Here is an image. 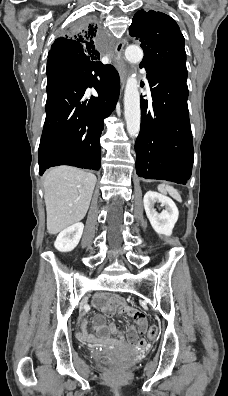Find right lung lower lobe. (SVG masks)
Returning <instances> with one entry per match:
<instances>
[{
    "mask_svg": "<svg viewBox=\"0 0 228 396\" xmlns=\"http://www.w3.org/2000/svg\"><path fill=\"white\" fill-rule=\"evenodd\" d=\"M89 87L97 91L98 97L86 98ZM119 92L118 72L101 62L74 65L47 90L46 119L39 145L40 175L58 165L100 169L103 120L115 108Z\"/></svg>",
    "mask_w": 228,
    "mask_h": 396,
    "instance_id": "right-lung-lower-lobe-1",
    "label": "right lung lower lobe"
}]
</instances>
